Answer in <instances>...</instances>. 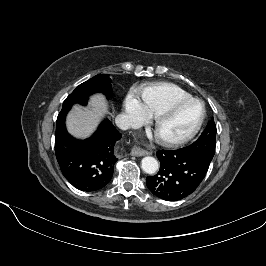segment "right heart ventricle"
<instances>
[{
    "instance_id": "obj_1",
    "label": "right heart ventricle",
    "mask_w": 266,
    "mask_h": 266,
    "mask_svg": "<svg viewBox=\"0 0 266 266\" xmlns=\"http://www.w3.org/2000/svg\"><path fill=\"white\" fill-rule=\"evenodd\" d=\"M190 98L187 91L172 83H153L142 90L143 103L151 116H157L173 104Z\"/></svg>"
}]
</instances>
